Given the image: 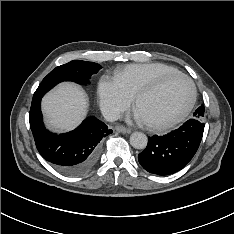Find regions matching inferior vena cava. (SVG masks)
<instances>
[{
    "mask_svg": "<svg viewBox=\"0 0 234 234\" xmlns=\"http://www.w3.org/2000/svg\"><path fill=\"white\" fill-rule=\"evenodd\" d=\"M103 117L110 122L116 121L120 118V112L115 109H103L102 110Z\"/></svg>",
    "mask_w": 234,
    "mask_h": 234,
    "instance_id": "obj_1",
    "label": "inferior vena cava"
}]
</instances>
